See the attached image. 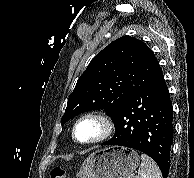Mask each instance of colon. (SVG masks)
<instances>
[{
  "mask_svg": "<svg viewBox=\"0 0 194 178\" xmlns=\"http://www.w3.org/2000/svg\"><path fill=\"white\" fill-rule=\"evenodd\" d=\"M51 178H65V171L62 167L55 166L51 170Z\"/></svg>",
  "mask_w": 194,
  "mask_h": 178,
  "instance_id": "1",
  "label": "colon"
}]
</instances>
